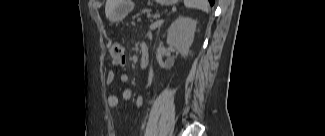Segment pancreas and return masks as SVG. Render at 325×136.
I'll list each match as a JSON object with an SVG mask.
<instances>
[{"mask_svg": "<svg viewBox=\"0 0 325 136\" xmlns=\"http://www.w3.org/2000/svg\"><path fill=\"white\" fill-rule=\"evenodd\" d=\"M153 9L149 5H142L140 12H134L133 18L136 24H150L153 19L145 16H153Z\"/></svg>", "mask_w": 325, "mask_h": 136, "instance_id": "pancreas-1", "label": "pancreas"}]
</instances>
